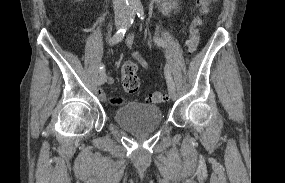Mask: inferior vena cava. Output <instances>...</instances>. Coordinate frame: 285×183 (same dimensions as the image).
Returning a JSON list of instances; mask_svg holds the SVG:
<instances>
[{
    "label": "inferior vena cava",
    "instance_id": "1",
    "mask_svg": "<svg viewBox=\"0 0 285 183\" xmlns=\"http://www.w3.org/2000/svg\"><path fill=\"white\" fill-rule=\"evenodd\" d=\"M115 17H127L129 15V7L126 0H113Z\"/></svg>",
    "mask_w": 285,
    "mask_h": 183
}]
</instances>
